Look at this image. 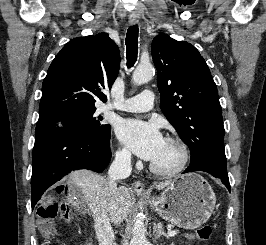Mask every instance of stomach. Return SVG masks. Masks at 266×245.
Listing matches in <instances>:
<instances>
[{
    "instance_id": "0dacf381",
    "label": "stomach",
    "mask_w": 266,
    "mask_h": 245,
    "mask_svg": "<svg viewBox=\"0 0 266 245\" xmlns=\"http://www.w3.org/2000/svg\"><path fill=\"white\" fill-rule=\"evenodd\" d=\"M147 203L168 223L194 231L213 215L216 195L201 175L188 173L175 177L160 197L150 199Z\"/></svg>"
}]
</instances>
